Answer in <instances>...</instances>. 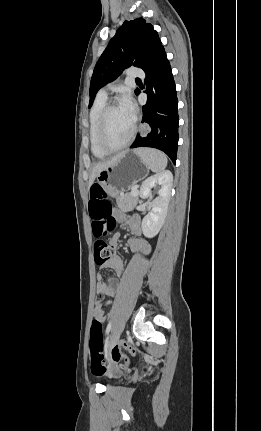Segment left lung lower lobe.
<instances>
[{
  "instance_id": "0a47b994",
  "label": "left lung lower lobe",
  "mask_w": 261,
  "mask_h": 431,
  "mask_svg": "<svg viewBox=\"0 0 261 431\" xmlns=\"http://www.w3.org/2000/svg\"><path fill=\"white\" fill-rule=\"evenodd\" d=\"M147 103L142 107V123L148 132L138 135L130 148L152 147L165 152L175 164L178 148V100L171 67L163 46L147 66ZM140 90L137 91V95Z\"/></svg>"
}]
</instances>
